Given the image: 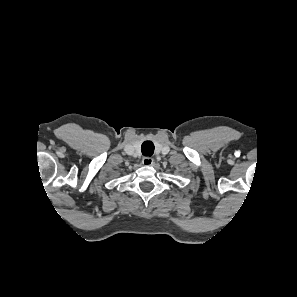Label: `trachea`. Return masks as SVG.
<instances>
[{"instance_id": "3493384b", "label": "trachea", "mask_w": 297, "mask_h": 297, "mask_svg": "<svg viewBox=\"0 0 297 297\" xmlns=\"http://www.w3.org/2000/svg\"><path fill=\"white\" fill-rule=\"evenodd\" d=\"M141 149L144 156H151L154 153V144L151 141H145Z\"/></svg>"}]
</instances>
